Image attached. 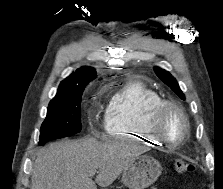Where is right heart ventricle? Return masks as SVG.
<instances>
[{"instance_id": "obj_1", "label": "right heart ventricle", "mask_w": 223, "mask_h": 189, "mask_svg": "<svg viewBox=\"0 0 223 189\" xmlns=\"http://www.w3.org/2000/svg\"><path fill=\"white\" fill-rule=\"evenodd\" d=\"M162 97L144 84L131 81L117 91L105 112L108 137H128L149 144H163L149 131V115Z\"/></svg>"}]
</instances>
